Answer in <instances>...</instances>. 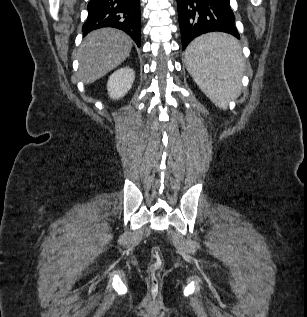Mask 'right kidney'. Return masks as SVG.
I'll list each match as a JSON object with an SVG mask.
<instances>
[{
  "label": "right kidney",
  "mask_w": 307,
  "mask_h": 317,
  "mask_svg": "<svg viewBox=\"0 0 307 317\" xmlns=\"http://www.w3.org/2000/svg\"><path fill=\"white\" fill-rule=\"evenodd\" d=\"M135 79V72L129 67L115 71L108 79L107 90L110 98L119 99L131 89Z\"/></svg>",
  "instance_id": "obj_1"
}]
</instances>
